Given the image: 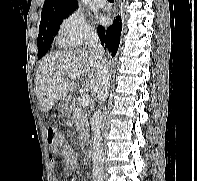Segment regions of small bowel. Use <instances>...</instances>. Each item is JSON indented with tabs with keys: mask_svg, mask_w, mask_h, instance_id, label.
<instances>
[{
	"mask_svg": "<svg viewBox=\"0 0 197 181\" xmlns=\"http://www.w3.org/2000/svg\"><path fill=\"white\" fill-rule=\"evenodd\" d=\"M59 154L62 158V168L66 174L73 173L78 166V160L74 150L69 145H64L61 150L51 151L50 154V166L55 168L57 161L55 155Z\"/></svg>",
	"mask_w": 197,
	"mask_h": 181,
	"instance_id": "small-bowel-1",
	"label": "small bowel"
}]
</instances>
